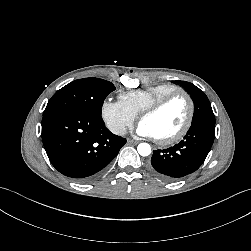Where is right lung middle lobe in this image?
<instances>
[{"instance_id":"right-lung-middle-lobe-1","label":"right lung middle lobe","mask_w":251,"mask_h":251,"mask_svg":"<svg viewBox=\"0 0 251 251\" xmlns=\"http://www.w3.org/2000/svg\"><path fill=\"white\" fill-rule=\"evenodd\" d=\"M115 89L111 82L99 78L75 80L52 96L44 113L53 110H70L101 115L105 98Z\"/></svg>"}]
</instances>
